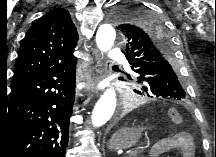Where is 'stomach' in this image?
Masks as SVG:
<instances>
[{"instance_id": "stomach-1", "label": "stomach", "mask_w": 216, "mask_h": 157, "mask_svg": "<svg viewBox=\"0 0 216 157\" xmlns=\"http://www.w3.org/2000/svg\"><path fill=\"white\" fill-rule=\"evenodd\" d=\"M143 128H123L117 131L108 143L110 149H128L135 145Z\"/></svg>"}]
</instances>
